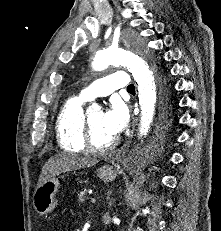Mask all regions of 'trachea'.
Wrapping results in <instances>:
<instances>
[{
    "label": "trachea",
    "mask_w": 221,
    "mask_h": 231,
    "mask_svg": "<svg viewBox=\"0 0 221 231\" xmlns=\"http://www.w3.org/2000/svg\"><path fill=\"white\" fill-rule=\"evenodd\" d=\"M134 89H135V87H134L133 84H131V85H129V86L127 87V90H128V91H132V90H134Z\"/></svg>",
    "instance_id": "3493384b"
}]
</instances>
